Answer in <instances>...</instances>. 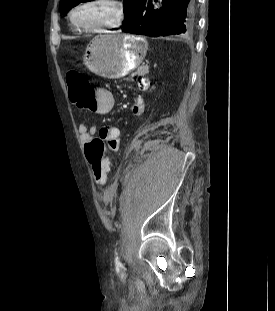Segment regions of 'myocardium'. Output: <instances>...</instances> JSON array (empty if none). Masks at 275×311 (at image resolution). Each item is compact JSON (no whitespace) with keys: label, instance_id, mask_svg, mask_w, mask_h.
I'll list each match as a JSON object with an SVG mask.
<instances>
[{"label":"myocardium","instance_id":"f54148a6","mask_svg":"<svg viewBox=\"0 0 275 311\" xmlns=\"http://www.w3.org/2000/svg\"><path fill=\"white\" fill-rule=\"evenodd\" d=\"M92 4H103L113 12V18L109 21L97 23V24H83L75 19V15L81 9L92 5ZM126 10L122 0H83L75 4L68 13L69 23L76 29L82 31H101V30H112L121 27L125 21Z\"/></svg>","mask_w":275,"mask_h":311}]
</instances>
